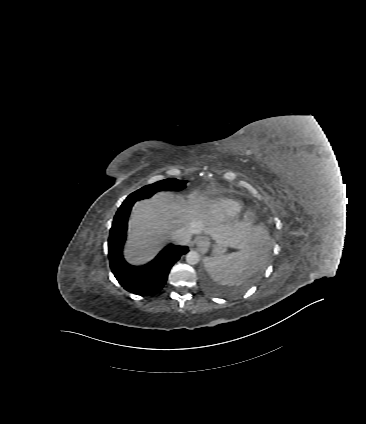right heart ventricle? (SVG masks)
Masks as SVG:
<instances>
[{"label": "right heart ventricle", "mask_w": 366, "mask_h": 424, "mask_svg": "<svg viewBox=\"0 0 366 424\" xmlns=\"http://www.w3.org/2000/svg\"><path fill=\"white\" fill-rule=\"evenodd\" d=\"M243 209V202L235 198H221L213 204V211L224 220L236 218Z\"/></svg>", "instance_id": "right-heart-ventricle-1"}]
</instances>
